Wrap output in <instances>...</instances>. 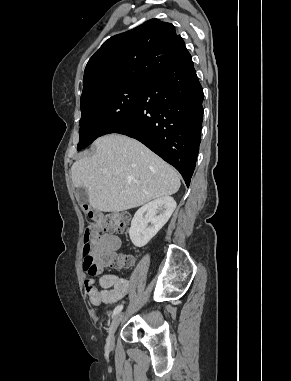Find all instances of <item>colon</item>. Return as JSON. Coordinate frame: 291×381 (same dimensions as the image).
<instances>
[{
	"label": "colon",
	"mask_w": 291,
	"mask_h": 381,
	"mask_svg": "<svg viewBox=\"0 0 291 381\" xmlns=\"http://www.w3.org/2000/svg\"><path fill=\"white\" fill-rule=\"evenodd\" d=\"M84 210L91 219V224L86 228L83 235L82 257L83 268L90 275H96L102 268L110 267L121 269L133 264V257L117 254L112 251L100 252L94 235L100 231L106 234L127 231L130 216L122 212L103 213L84 205Z\"/></svg>",
	"instance_id": "obj_1"
}]
</instances>
